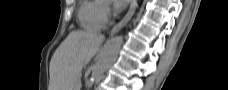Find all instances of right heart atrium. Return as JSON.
I'll return each mask as SVG.
<instances>
[{
  "label": "right heart atrium",
  "instance_id": "right-heart-atrium-1",
  "mask_svg": "<svg viewBox=\"0 0 228 90\" xmlns=\"http://www.w3.org/2000/svg\"><path fill=\"white\" fill-rule=\"evenodd\" d=\"M111 14V9L109 6V3L107 1H99V7H98V17L99 20L105 24L109 21Z\"/></svg>",
  "mask_w": 228,
  "mask_h": 90
}]
</instances>
